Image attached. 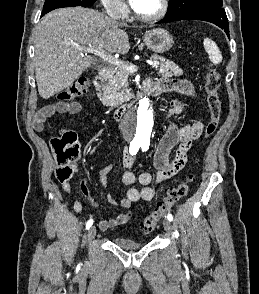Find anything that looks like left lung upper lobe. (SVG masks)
I'll use <instances>...</instances> for the list:
<instances>
[{"instance_id":"1","label":"left lung upper lobe","mask_w":259,"mask_h":294,"mask_svg":"<svg viewBox=\"0 0 259 294\" xmlns=\"http://www.w3.org/2000/svg\"><path fill=\"white\" fill-rule=\"evenodd\" d=\"M201 6L222 7V0H170V10L167 16H173L187 12Z\"/></svg>"}]
</instances>
